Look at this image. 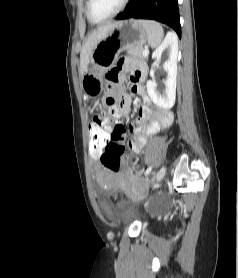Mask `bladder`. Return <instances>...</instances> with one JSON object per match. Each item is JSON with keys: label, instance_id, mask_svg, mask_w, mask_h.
<instances>
[{"label": "bladder", "instance_id": "bladder-1", "mask_svg": "<svg viewBox=\"0 0 238 278\" xmlns=\"http://www.w3.org/2000/svg\"><path fill=\"white\" fill-rule=\"evenodd\" d=\"M102 210L104 216L110 221L126 219L130 217V213L126 209L116 208L108 203H102Z\"/></svg>", "mask_w": 238, "mask_h": 278}]
</instances>
